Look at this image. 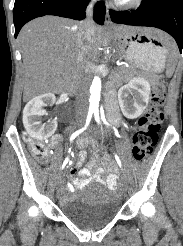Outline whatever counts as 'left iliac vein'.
<instances>
[{
    "instance_id": "1",
    "label": "left iliac vein",
    "mask_w": 183,
    "mask_h": 246,
    "mask_svg": "<svg viewBox=\"0 0 183 246\" xmlns=\"http://www.w3.org/2000/svg\"><path fill=\"white\" fill-rule=\"evenodd\" d=\"M122 189H123V191H126V189H127V185H126V182L124 179H123V183H122Z\"/></svg>"
}]
</instances>
